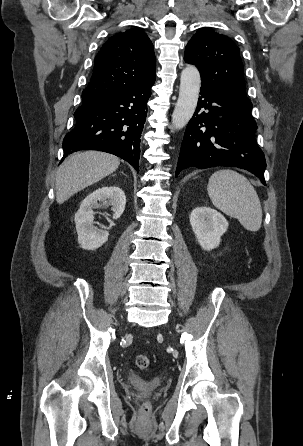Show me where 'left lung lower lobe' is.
<instances>
[{"instance_id":"1","label":"left lung lower lobe","mask_w":303,"mask_h":446,"mask_svg":"<svg viewBox=\"0 0 303 446\" xmlns=\"http://www.w3.org/2000/svg\"><path fill=\"white\" fill-rule=\"evenodd\" d=\"M200 95L185 131L175 176L188 167L235 166L266 185V161L255 140L252 107L209 83H202Z\"/></svg>"}]
</instances>
